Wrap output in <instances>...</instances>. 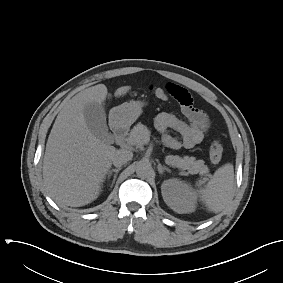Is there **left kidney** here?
<instances>
[{
	"label": "left kidney",
	"instance_id": "left-kidney-1",
	"mask_svg": "<svg viewBox=\"0 0 283 283\" xmlns=\"http://www.w3.org/2000/svg\"><path fill=\"white\" fill-rule=\"evenodd\" d=\"M161 192L165 203L179 214L195 211V198L188 184L178 179H168L162 183Z\"/></svg>",
	"mask_w": 283,
	"mask_h": 283
}]
</instances>
